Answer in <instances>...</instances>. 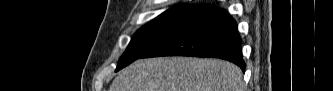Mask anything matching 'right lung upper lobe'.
Here are the masks:
<instances>
[{"label": "right lung upper lobe", "instance_id": "1", "mask_svg": "<svg viewBox=\"0 0 333 91\" xmlns=\"http://www.w3.org/2000/svg\"><path fill=\"white\" fill-rule=\"evenodd\" d=\"M201 12H203L201 6H175L163 12L157 18H177L191 20Z\"/></svg>", "mask_w": 333, "mask_h": 91}]
</instances>
